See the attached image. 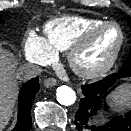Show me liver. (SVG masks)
Returning <instances> with one entry per match:
<instances>
[{
    "label": "liver",
    "mask_w": 131,
    "mask_h": 131,
    "mask_svg": "<svg viewBox=\"0 0 131 131\" xmlns=\"http://www.w3.org/2000/svg\"><path fill=\"white\" fill-rule=\"evenodd\" d=\"M16 63L0 46V131L8 124L17 98Z\"/></svg>",
    "instance_id": "obj_1"
}]
</instances>
